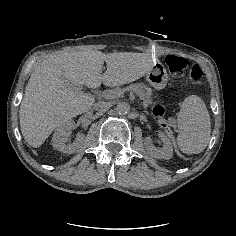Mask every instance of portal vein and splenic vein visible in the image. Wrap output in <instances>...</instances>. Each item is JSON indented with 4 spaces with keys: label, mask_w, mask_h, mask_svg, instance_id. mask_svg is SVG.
<instances>
[{
    "label": "portal vein and splenic vein",
    "mask_w": 236,
    "mask_h": 236,
    "mask_svg": "<svg viewBox=\"0 0 236 236\" xmlns=\"http://www.w3.org/2000/svg\"><path fill=\"white\" fill-rule=\"evenodd\" d=\"M78 88H79V90H80V91H82V90H83V86H79Z\"/></svg>",
    "instance_id": "18ae733b"
}]
</instances>
